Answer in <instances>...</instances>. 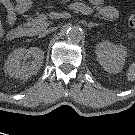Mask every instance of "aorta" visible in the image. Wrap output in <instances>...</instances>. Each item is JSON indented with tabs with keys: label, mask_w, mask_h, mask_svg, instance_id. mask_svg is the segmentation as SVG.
<instances>
[{
	"label": "aorta",
	"mask_w": 135,
	"mask_h": 135,
	"mask_svg": "<svg viewBox=\"0 0 135 135\" xmlns=\"http://www.w3.org/2000/svg\"><path fill=\"white\" fill-rule=\"evenodd\" d=\"M66 37L71 41H80L83 38V30L77 25H70L66 29Z\"/></svg>",
	"instance_id": "762f6f07"
}]
</instances>
